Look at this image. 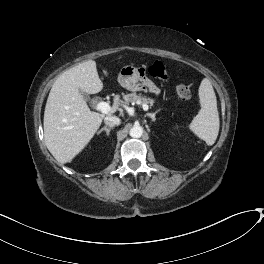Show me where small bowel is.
<instances>
[{
	"mask_svg": "<svg viewBox=\"0 0 264 264\" xmlns=\"http://www.w3.org/2000/svg\"><path fill=\"white\" fill-rule=\"evenodd\" d=\"M148 88H149V90H150L151 92H153V93H155V94H158V93H159L158 88H157L156 86L152 85V84H150V85L148 86Z\"/></svg>",
	"mask_w": 264,
	"mask_h": 264,
	"instance_id": "obj_1",
	"label": "small bowel"
}]
</instances>
